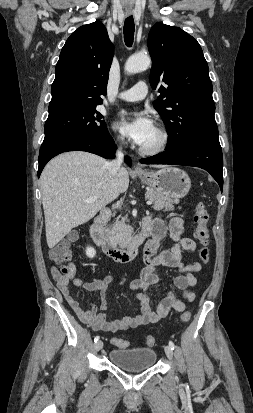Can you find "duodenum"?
Masks as SVG:
<instances>
[{"mask_svg":"<svg viewBox=\"0 0 253 413\" xmlns=\"http://www.w3.org/2000/svg\"><path fill=\"white\" fill-rule=\"evenodd\" d=\"M110 215L111 212L107 208L100 211L91 224V237L102 248L103 252L114 261L120 263L130 262L137 256L140 245L151 236V227L147 221H143L141 230L131 238L128 246L120 248L110 240L104 228Z\"/></svg>","mask_w":253,"mask_h":413,"instance_id":"1","label":"duodenum"}]
</instances>
